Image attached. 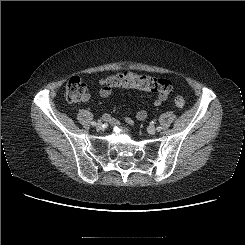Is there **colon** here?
I'll return each instance as SVG.
<instances>
[{"label":"colon","instance_id":"1","mask_svg":"<svg viewBox=\"0 0 245 245\" xmlns=\"http://www.w3.org/2000/svg\"><path fill=\"white\" fill-rule=\"evenodd\" d=\"M102 88L107 90L135 88L143 91L156 92L167 95L172 91V83L167 79L155 78L148 75H139L132 72H122L111 75L101 82ZM86 84L79 76L71 77L65 89V95L70 102H79L86 95ZM176 107L182 108L185 100L182 97L174 99Z\"/></svg>","mask_w":245,"mask_h":245}]
</instances>
